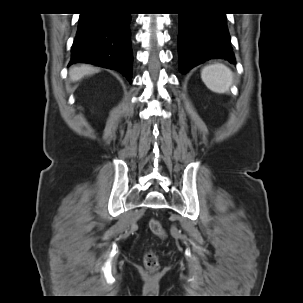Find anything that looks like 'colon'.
<instances>
[{
    "label": "colon",
    "mask_w": 303,
    "mask_h": 303,
    "mask_svg": "<svg viewBox=\"0 0 303 303\" xmlns=\"http://www.w3.org/2000/svg\"><path fill=\"white\" fill-rule=\"evenodd\" d=\"M149 227L155 235L163 239L166 238L167 233L159 221L152 219L149 223ZM143 262L145 267L151 272H155L159 268L158 255L153 250H147L144 253Z\"/></svg>",
    "instance_id": "1"
}]
</instances>
